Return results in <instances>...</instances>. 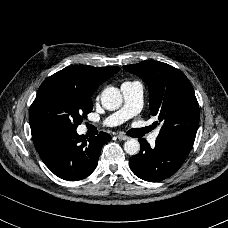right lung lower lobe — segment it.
I'll use <instances>...</instances> for the list:
<instances>
[{
  "mask_svg": "<svg viewBox=\"0 0 228 228\" xmlns=\"http://www.w3.org/2000/svg\"><path fill=\"white\" fill-rule=\"evenodd\" d=\"M111 136L101 132L87 138L76 130H56L33 137L44 164L58 177L77 181L96 168L102 146Z\"/></svg>",
  "mask_w": 228,
  "mask_h": 228,
  "instance_id": "obj_1",
  "label": "right lung lower lobe"
}]
</instances>
